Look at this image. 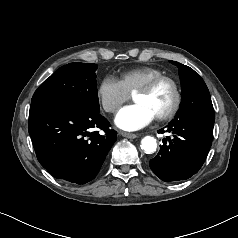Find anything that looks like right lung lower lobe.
<instances>
[{"label":"right lung lower lobe","instance_id":"1","mask_svg":"<svg viewBox=\"0 0 238 238\" xmlns=\"http://www.w3.org/2000/svg\"><path fill=\"white\" fill-rule=\"evenodd\" d=\"M99 111L68 103H32L28 130L40 164L55 178L85 184L95 178L117 138ZM104 130L105 135L90 132Z\"/></svg>","mask_w":238,"mask_h":238}]
</instances>
